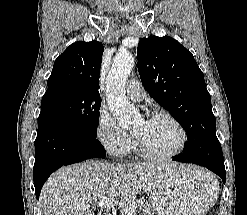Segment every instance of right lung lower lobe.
<instances>
[{"mask_svg":"<svg viewBox=\"0 0 247 215\" xmlns=\"http://www.w3.org/2000/svg\"><path fill=\"white\" fill-rule=\"evenodd\" d=\"M104 147L96 136L84 130L60 123L38 126L35 140L34 186L37 199L52 172L61 166L94 157H105Z\"/></svg>","mask_w":247,"mask_h":215,"instance_id":"1","label":"right lung lower lobe"}]
</instances>
